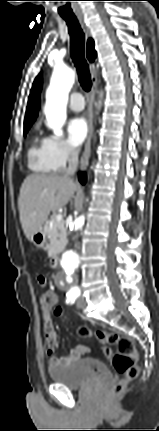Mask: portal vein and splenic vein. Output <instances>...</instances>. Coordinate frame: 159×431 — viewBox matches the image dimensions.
Returning <instances> with one entry per match:
<instances>
[{"mask_svg":"<svg viewBox=\"0 0 159 431\" xmlns=\"http://www.w3.org/2000/svg\"><path fill=\"white\" fill-rule=\"evenodd\" d=\"M55 219H56V221H57V222H60V221H62V220H63V217H62V215H61V214H58V215L55 217Z\"/></svg>","mask_w":159,"mask_h":431,"instance_id":"obj_1","label":"portal vein and splenic vein"}]
</instances>
